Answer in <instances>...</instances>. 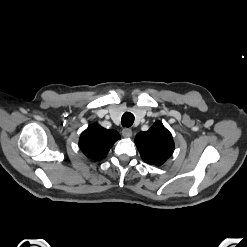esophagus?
<instances>
[{"mask_svg": "<svg viewBox=\"0 0 247 247\" xmlns=\"http://www.w3.org/2000/svg\"><path fill=\"white\" fill-rule=\"evenodd\" d=\"M132 130L131 129H129V128H124L123 130H122V135H123V137H125V138H130V137H132Z\"/></svg>", "mask_w": 247, "mask_h": 247, "instance_id": "obj_1", "label": "esophagus"}]
</instances>
